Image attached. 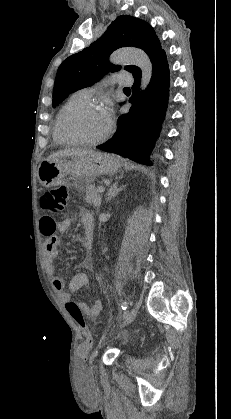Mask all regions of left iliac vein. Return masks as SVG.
Masks as SVG:
<instances>
[{
    "label": "left iliac vein",
    "mask_w": 231,
    "mask_h": 419,
    "mask_svg": "<svg viewBox=\"0 0 231 419\" xmlns=\"http://www.w3.org/2000/svg\"><path fill=\"white\" fill-rule=\"evenodd\" d=\"M138 307H139V305L137 303H134L130 312L125 316L121 327L127 326L128 324H130L136 318L137 312H138Z\"/></svg>",
    "instance_id": "obj_1"
}]
</instances>
